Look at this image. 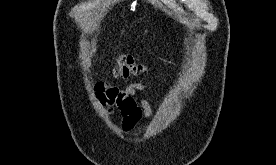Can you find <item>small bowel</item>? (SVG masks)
Returning a JSON list of instances; mask_svg holds the SVG:
<instances>
[{
    "instance_id": "1",
    "label": "small bowel",
    "mask_w": 276,
    "mask_h": 165,
    "mask_svg": "<svg viewBox=\"0 0 276 165\" xmlns=\"http://www.w3.org/2000/svg\"><path fill=\"white\" fill-rule=\"evenodd\" d=\"M147 89L145 84L136 81L123 88L99 82L95 87V97L100 105L108 107L110 113L116 108L121 115L123 130L131 131L142 119L152 117L150 104L139 96V92Z\"/></svg>"
}]
</instances>
